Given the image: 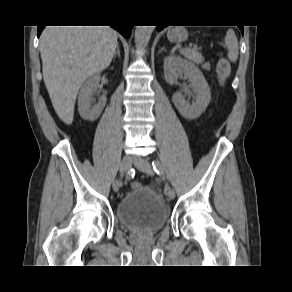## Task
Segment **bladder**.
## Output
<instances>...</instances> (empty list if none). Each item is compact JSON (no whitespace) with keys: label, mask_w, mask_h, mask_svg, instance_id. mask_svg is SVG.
<instances>
[{"label":"bladder","mask_w":292,"mask_h":292,"mask_svg":"<svg viewBox=\"0 0 292 292\" xmlns=\"http://www.w3.org/2000/svg\"><path fill=\"white\" fill-rule=\"evenodd\" d=\"M117 219L128 231L156 233L169 217V208L159 191L152 186H141L128 191L118 202Z\"/></svg>","instance_id":"obj_1"}]
</instances>
